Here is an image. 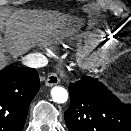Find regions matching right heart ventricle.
I'll return each mask as SVG.
<instances>
[{
	"mask_svg": "<svg viewBox=\"0 0 131 131\" xmlns=\"http://www.w3.org/2000/svg\"><path fill=\"white\" fill-rule=\"evenodd\" d=\"M108 38H109L108 35L105 32L100 31V30L89 32L84 36L85 40L92 43H98L103 40H108Z\"/></svg>",
	"mask_w": 131,
	"mask_h": 131,
	"instance_id": "right-heart-ventricle-1",
	"label": "right heart ventricle"
}]
</instances>
